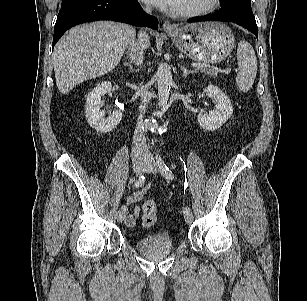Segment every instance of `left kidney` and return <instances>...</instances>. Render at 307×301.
<instances>
[{"mask_svg": "<svg viewBox=\"0 0 307 301\" xmlns=\"http://www.w3.org/2000/svg\"><path fill=\"white\" fill-rule=\"evenodd\" d=\"M204 92L214 99L217 104L211 113H200L197 116L198 123L205 130H216L220 128L232 115L233 107L229 97L217 86L208 85Z\"/></svg>", "mask_w": 307, "mask_h": 301, "instance_id": "left-kidney-1", "label": "left kidney"}]
</instances>
